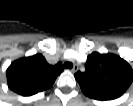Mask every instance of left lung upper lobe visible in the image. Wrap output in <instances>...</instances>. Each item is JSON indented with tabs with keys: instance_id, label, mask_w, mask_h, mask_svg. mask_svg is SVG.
I'll return each mask as SVG.
<instances>
[{
	"instance_id": "5c2ea615",
	"label": "left lung upper lobe",
	"mask_w": 133,
	"mask_h": 106,
	"mask_svg": "<svg viewBox=\"0 0 133 106\" xmlns=\"http://www.w3.org/2000/svg\"><path fill=\"white\" fill-rule=\"evenodd\" d=\"M86 71L74 76L82 92L95 100H113L120 97L133 81L131 66L114 54L93 52L87 57Z\"/></svg>"
}]
</instances>
